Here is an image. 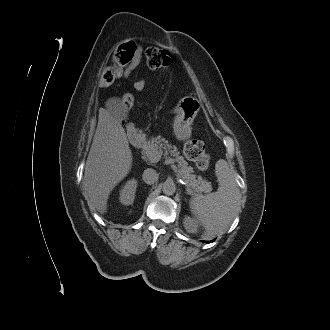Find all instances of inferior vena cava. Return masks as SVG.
<instances>
[{
	"instance_id": "1",
	"label": "inferior vena cava",
	"mask_w": 330,
	"mask_h": 330,
	"mask_svg": "<svg viewBox=\"0 0 330 330\" xmlns=\"http://www.w3.org/2000/svg\"><path fill=\"white\" fill-rule=\"evenodd\" d=\"M142 179L146 184H154L158 180L157 172L152 168H147L144 170Z\"/></svg>"
}]
</instances>
